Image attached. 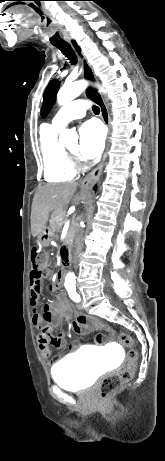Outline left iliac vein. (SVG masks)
I'll use <instances>...</instances> for the list:
<instances>
[{
	"label": "left iliac vein",
	"mask_w": 165,
	"mask_h": 461,
	"mask_svg": "<svg viewBox=\"0 0 165 461\" xmlns=\"http://www.w3.org/2000/svg\"><path fill=\"white\" fill-rule=\"evenodd\" d=\"M77 307H78V309H83V304H82V302L78 303V304H77Z\"/></svg>",
	"instance_id": "obj_1"
}]
</instances>
